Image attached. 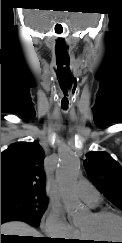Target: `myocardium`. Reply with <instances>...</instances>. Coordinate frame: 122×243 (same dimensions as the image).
<instances>
[{
    "label": "myocardium",
    "instance_id": "myocardium-1",
    "mask_svg": "<svg viewBox=\"0 0 122 243\" xmlns=\"http://www.w3.org/2000/svg\"><path fill=\"white\" fill-rule=\"evenodd\" d=\"M92 216L96 219H101V218H105L108 216H112V217H116L117 219L122 221V214H120L116 211L107 210V209L95 210L92 212ZM79 234L81 236V239H83V240H88L90 238L80 229H79Z\"/></svg>",
    "mask_w": 122,
    "mask_h": 243
}]
</instances>
